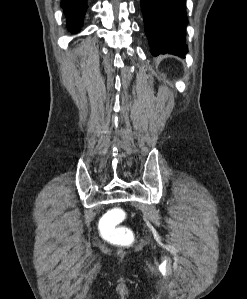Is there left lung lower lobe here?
Listing matches in <instances>:
<instances>
[{"instance_id":"obj_1","label":"left lung lower lobe","mask_w":247,"mask_h":299,"mask_svg":"<svg viewBox=\"0 0 247 299\" xmlns=\"http://www.w3.org/2000/svg\"><path fill=\"white\" fill-rule=\"evenodd\" d=\"M150 51L153 55L187 53L186 0H141Z\"/></svg>"}]
</instances>
